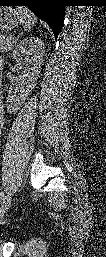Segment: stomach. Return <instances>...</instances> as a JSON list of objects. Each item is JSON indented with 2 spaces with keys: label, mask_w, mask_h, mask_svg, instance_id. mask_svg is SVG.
Wrapping results in <instances>:
<instances>
[{
  "label": "stomach",
  "mask_w": 106,
  "mask_h": 257,
  "mask_svg": "<svg viewBox=\"0 0 106 257\" xmlns=\"http://www.w3.org/2000/svg\"><path fill=\"white\" fill-rule=\"evenodd\" d=\"M19 8L2 7L0 9V32L6 33L11 31L20 23Z\"/></svg>",
  "instance_id": "0dacf381"
}]
</instances>
